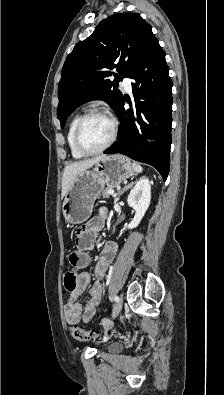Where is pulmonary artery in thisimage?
Returning <instances> with one entry per match:
<instances>
[{
    "instance_id": "1",
    "label": "pulmonary artery",
    "mask_w": 224,
    "mask_h": 395,
    "mask_svg": "<svg viewBox=\"0 0 224 395\" xmlns=\"http://www.w3.org/2000/svg\"><path fill=\"white\" fill-rule=\"evenodd\" d=\"M122 86L126 92L130 93L132 89L131 79L129 77L123 78Z\"/></svg>"
}]
</instances>
